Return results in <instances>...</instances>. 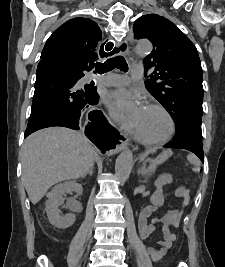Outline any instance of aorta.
I'll return each instance as SVG.
<instances>
[{
  "instance_id": "aorta-1",
  "label": "aorta",
  "mask_w": 225,
  "mask_h": 267,
  "mask_svg": "<svg viewBox=\"0 0 225 267\" xmlns=\"http://www.w3.org/2000/svg\"><path fill=\"white\" fill-rule=\"evenodd\" d=\"M152 50V44L148 41L138 42L134 47V53L137 56H144ZM133 164V155L129 150L123 151L120 153L116 159L115 164V175L120 181H125L131 171Z\"/></svg>"
}]
</instances>
